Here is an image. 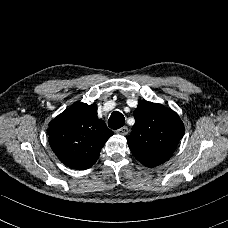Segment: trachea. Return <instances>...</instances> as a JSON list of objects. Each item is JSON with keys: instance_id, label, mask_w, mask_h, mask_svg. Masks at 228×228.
Instances as JSON below:
<instances>
[{"instance_id": "obj_1", "label": "trachea", "mask_w": 228, "mask_h": 228, "mask_svg": "<svg viewBox=\"0 0 228 228\" xmlns=\"http://www.w3.org/2000/svg\"><path fill=\"white\" fill-rule=\"evenodd\" d=\"M124 124L125 118L123 114L118 111H114L108 120V126L113 130L121 128Z\"/></svg>"}]
</instances>
